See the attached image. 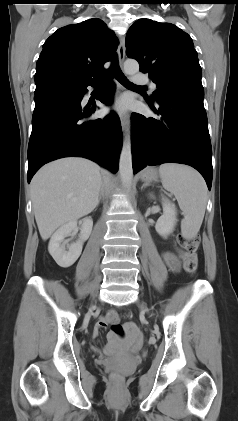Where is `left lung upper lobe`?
<instances>
[{"mask_svg":"<svg viewBox=\"0 0 238 421\" xmlns=\"http://www.w3.org/2000/svg\"><path fill=\"white\" fill-rule=\"evenodd\" d=\"M126 54L149 72L157 93L189 83H201L202 71L191 37L177 26L139 19L126 35Z\"/></svg>","mask_w":238,"mask_h":421,"instance_id":"left-lung-upper-lobe-1","label":"left lung upper lobe"}]
</instances>
